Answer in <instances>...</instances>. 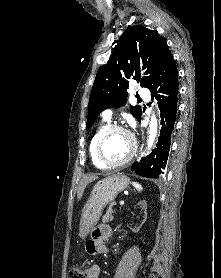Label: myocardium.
<instances>
[{
	"label": "myocardium",
	"instance_id": "f54148a6",
	"mask_svg": "<svg viewBox=\"0 0 221 278\" xmlns=\"http://www.w3.org/2000/svg\"><path fill=\"white\" fill-rule=\"evenodd\" d=\"M115 131H121V132L126 133L131 139L132 147H131V151H130L129 155L124 160L117 162V163H110L103 158L102 146H103V143H104L105 139L107 138V136ZM136 152H137V141H136V138L133 135V133L130 130H128L127 128H125L121 125H117V124L110 125L107 128H105L102 131V133L99 135V137L96 141V144H95V156H96L97 160L99 161V163L102 166H104L105 168H120V167L125 166L134 158V156L136 155Z\"/></svg>",
	"mask_w": 221,
	"mask_h": 278
}]
</instances>
